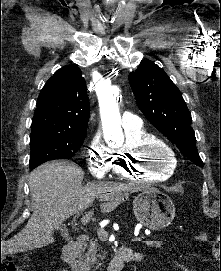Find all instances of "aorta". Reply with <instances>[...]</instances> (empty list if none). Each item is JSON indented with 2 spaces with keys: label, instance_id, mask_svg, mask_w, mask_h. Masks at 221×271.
Returning a JSON list of instances; mask_svg holds the SVG:
<instances>
[{
  "label": "aorta",
  "instance_id": "obj_1",
  "mask_svg": "<svg viewBox=\"0 0 221 271\" xmlns=\"http://www.w3.org/2000/svg\"><path fill=\"white\" fill-rule=\"evenodd\" d=\"M119 94V88L114 86L100 98V112L103 127L107 130L113 129L121 132V117L119 113L116 97Z\"/></svg>",
  "mask_w": 221,
  "mask_h": 271
}]
</instances>
